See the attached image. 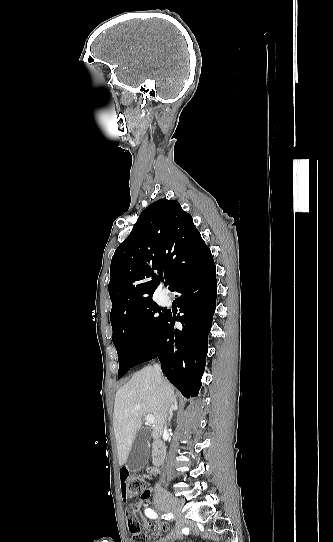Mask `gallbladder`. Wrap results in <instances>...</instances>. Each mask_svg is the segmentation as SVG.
I'll use <instances>...</instances> for the list:
<instances>
[{"label": "gallbladder", "mask_w": 333, "mask_h": 542, "mask_svg": "<svg viewBox=\"0 0 333 542\" xmlns=\"http://www.w3.org/2000/svg\"><path fill=\"white\" fill-rule=\"evenodd\" d=\"M150 434V428H141V430H139L126 462L129 472H140L145 464H147L149 458L148 442L150 440Z\"/></svg>", "instance_id": "gallbladder-1"}]
</instances>
